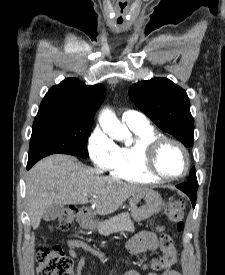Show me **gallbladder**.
Returning <instances> with one entry per match:
<instances>
[{"label": "gallbladder", "instance_id": "1", "mask_svg": "<svg viewBox=\"0 0 225 275\" xmlns=\"http://www.w3.org/2000/svg\"><path fill=\"white\" fill-rule=\"evenodd\" d=\"M64 210V205L58 203H52L45 213L43 214L42 218L45 221H52L60 216V214Z\"/></svg>", "mask_w": 225, "mask_h": 275}]
</instances>
